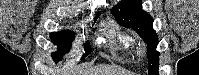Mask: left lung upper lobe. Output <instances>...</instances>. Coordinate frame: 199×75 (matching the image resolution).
<instances>
[{
  "label": "left lung upper lobe",
  "instance_id": "5c2ea615",
  "mask_svg": "<svg viewBox=\"0 0 199 75\" xmlns=\"http://www.w3.org/2000/svg\"><path fill=\"white\" fill-rule=\"evenodd\" d=\"M115 18L122 25L134 29L147 44L148 72L158 75L159 52L156 47L158 36L153 29V19L142 10L141 0H121L111 9Z\"/></svg>",
  "mask_w": 199,
  "mask_h": 75
}]
</instances>
